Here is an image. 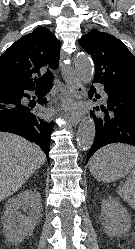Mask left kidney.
<instances>
[{
  "label": "left kidney",
  "instance_id": "left-kidney-1",
  "mask_svg": "<svg viewBox=\"0 0 135 249\" xmlns=\"http://www.w3.org/2000/svg\"><path fill=\"white\" fill-rule=\"evenodd\" d=\"M101 218L104 229L113 236L126 235L131 228V219L124 206L113 197L102 201Z\"/></svg>",
  "mask_w": 135,
  "mask_h": 249
}]
</instances>
